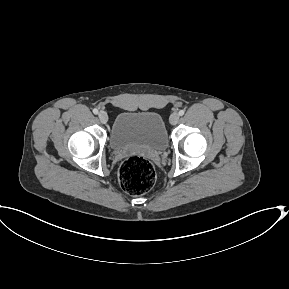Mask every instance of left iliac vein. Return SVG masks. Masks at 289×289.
Here are the masks:
<instances>
[{
  "instance_id": "obj_1",
  "label": "left iliac vein",
  "mask_w": 289,
  "mask_h": 289,
  "mask_svg": "<svg viewBox=\"0 0 289 289\" xmlns=\"http://www.w3.org/2000/svg\"><path fill=\"white\" fill-rule=\"evenodd\" d=\"M179 114L177 112H174L171 114L170 118H169V121L172 125H176L179 121Z\"/></svg>"
}]
</instances>
